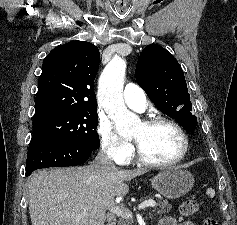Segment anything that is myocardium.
<instances>
[{"instance_id": "obj_1", "label": "myocardium", "mask_w": 237, "mask_h": 225, "mask_svg": "<svg viewBox=\"0 0 237 225\" xmlns=\"http://www.w3.org/2000/svg\"><path fill=\"white\" fill-rule=\"evenodd\" d=\"M142 124L145 127H153L156 125H167L172 127L176 130V132L179 134L181 141H182V149L180 153L173 159L167 160V161H156V160H149L140 151L138 146L135 143L134 148V158L142 165L148 166V167H170L173 166L180 161L183 160V158L186 156L188 149H189V140L187 137V134L183 130V128L174 120L164 118V117H153L147 120H144Z\"/></svg>"}]
</instances>
